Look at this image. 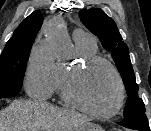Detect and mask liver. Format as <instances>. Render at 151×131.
I'll use <instances>...</instances> for the list:
<instances>
[{
  "label": "liver",
  "mask_w": 151,
  "mask_h": 131,
  "mask_svg": "<svg viewBox=\"0 0 151 131\" xmlns=\"http://www.w3.org/2000/svg\"><path fill=\"white\" fill-rule=\"evenodd\" d=\"M88 122L85 115L43 101L14 100L0 110V131H77Z\"/></svg>",
  "instance_id": "liver-1"
}]
</instances>
